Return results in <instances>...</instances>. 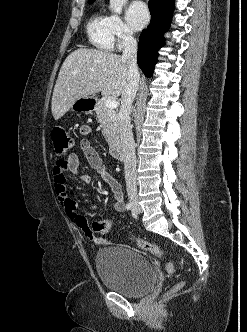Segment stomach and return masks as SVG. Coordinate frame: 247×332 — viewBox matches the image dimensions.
I'll use <instances>...</instances> for the list:
<instances>
[{
  "mask_svg": "<svg viewBox=\"0 0 247 332\" xmlns=\"http://www.w3.org/2000/svg\"><path fill=\"white\" fill-rule=\"evenodd\" d=\"M94 106V99L92 97H81L76 100L71 109L74 111H88L93 109Z\"/></svg>",
  "mask_w": 247,
  "mask_h": 332,
  "instance_id": "1",
  "label": "stomach"
}]
</instances>
